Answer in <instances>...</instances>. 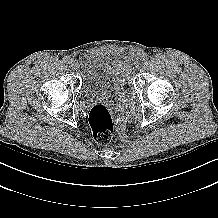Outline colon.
Returning <instances> with one entry per match:
<instances>
[{
    "mask_svg": "<svg viewBox=\"0 0 218 218\" xmlns=\"http://www.w3.org/2000/svg\"><path fill=\"white\" fill-rule=\"evenodd\" d=\"M89 124L97 143L106 144L111 140L114 122L110 110L105 105L97 104L92 107L89 112Z\"/></svg>",
    "mask_w": 218,
    "mask_h": 218,
    "instance_id": "5ec220e1",
    "label": "colon"
}]
</instances>
